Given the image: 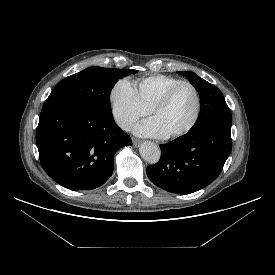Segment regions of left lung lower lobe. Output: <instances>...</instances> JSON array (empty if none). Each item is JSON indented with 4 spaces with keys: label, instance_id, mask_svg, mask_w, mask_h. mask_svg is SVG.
Wrapping results in <instances>:
<instances>
[{
    "label": "left lung lower lobe",
    "instance_id": "0a47b994",
    "mask_svg": "<svg viewBox=\"0 0 275 275\" xmlns=\"http://www.w3.org/2000/svg\"><path fill=\"white\" fill-rule=\"evenodd\" d=\"M230 126H212L187 132L160 145L159 162L147 167L159 188L177 194L198 191L220 174L231 152Z\"/></svg>",
    "mask_w": 275,
    "mask_h": 275
}]
</instances>
